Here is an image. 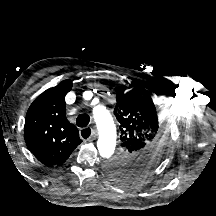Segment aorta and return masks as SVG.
Segmentation results:
<instances>
[{
  "mask_svg": "<svg viewBox=\"0 0 216 216\" xmlns=\"http://www.w3.org/2000/svg\"><path fill=\"white\" fill-rule=\"evenodd\" d=\"M93 116L99 132L97 141L99 154L104 158H110L116 146V125L109 111L103 106L96 107Z\"/></svg>",
  "mask_w": 216,
  "mask_h": 216,
  "instance_id": "obj_1",
  "label": "aorta"
}]
</instances>
